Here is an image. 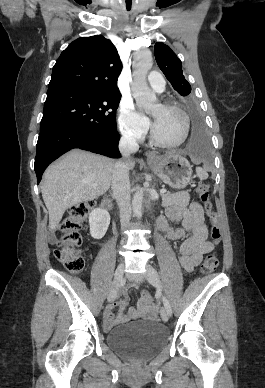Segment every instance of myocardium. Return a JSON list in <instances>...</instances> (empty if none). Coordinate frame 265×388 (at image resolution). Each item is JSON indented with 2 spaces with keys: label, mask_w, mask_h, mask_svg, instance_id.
Segmentation results:
<instances>
[{
  "label": "myocardium",
  "mask_w": 265,
  "mask_h": 388,
  "mask_svg": "<svg viewBox=\"0 0 265 388\" xmlns=\"http://www.w3.org/2000/svg\"><path fill=\"white\" fill-rule=\"evenodd\" d=\"M161 90H157V93H161ZM162 107L168 110H172L176 113H178L181 118H182V130H181V135L176 141H167L163 139L160 134L157 131L155 121H152V138L153 140L160 146L165 147V148H175L180 145H182L186 139L188 138L189 135V129H190V121H189V116L187 113L180 108L177 105H174L172 103H163L161 104Z\"/></svg>",
  "instance_id": "obj_1"
}]
</instances>
